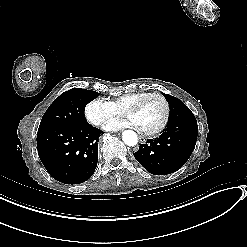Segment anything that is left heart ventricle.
I'll return each instance as SVG.
<instances>
[{"label": "left heart ventricle", "instance_id": "1", "mask_svg": "<svg viewBox=\"0 0 247 247\" xmlns=\"http://www.w3.org/2000/svg\"><path fill=\"white\" fill-rule=\"evenodd\" d=\"M165 107L158 97L146 98L142 101L138 111L132 116L139 129L153 130L163 120Z\"/></svg>", "mask_w": 247, "mask_h": 247}]
</instances>
